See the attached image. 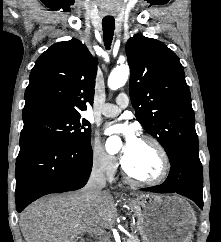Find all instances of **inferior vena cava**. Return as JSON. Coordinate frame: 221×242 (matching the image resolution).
<instances>
[{"instance_id":"602c4592","label":"inferior vena cava","mask_w":221,"mask_h":242,"mask_svg":"<svg viewBox=\"0 0 221 242\" xmlns=\"http://www.w3.org/2000/svg\"><path fill=\"white\" fill-rule=\"evenodd\" d=\"M106 186L105 167L100 164L93 166L91 175L83 189V197L89 201H95L103 193L102 189Z\"/></svg>"}]
</instances>
